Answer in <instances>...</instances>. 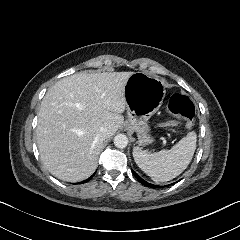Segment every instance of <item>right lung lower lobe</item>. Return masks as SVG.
Masks as SVG:
<instances>
[{
	"mask_svg": "<svg viewBox=\"0 0 240 240\" xmlns=\"http://www.w3.org/2000/svg\"><path fill=\"white\" fill-rule=\"evenodd\" d=\"M90 178H91V177H90ZM90 178H88L87 180H85V181H83V182H81V183H85V182L89 181V180H90Z\"/></svg>",
	"mask_w": 240,
	"mask_h": 240,
	"instance_id": "right-lung-lower-lobe-1",
	"label": "right lung lower lobe"
}]
</instances>
